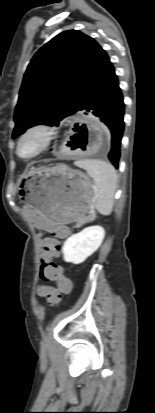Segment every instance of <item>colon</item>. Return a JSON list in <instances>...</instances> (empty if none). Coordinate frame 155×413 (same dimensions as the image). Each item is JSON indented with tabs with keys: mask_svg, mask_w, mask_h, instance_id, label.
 Segmentation results:
<instances>
[{
	"mask_svg": "<svg viewBox=\"0 0 155 413\" xmlns=\"http://www.w3.org/2000/svg\"><path fill=\"white\" fill-rule=\"evenodd\" d=\"M58 243L54 238L47 239L40 250V278L44 281H56L59 290H51L47 295L50 304H57L61 300V294L69 293L73 289V282L67 273L54 261L58 250Z\"/></svg>",
	"mask_w": 155,
	"mask_h": 413,
	"instance_id": "obj_1",
	"label": "colon"
}]
</instances>
